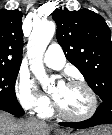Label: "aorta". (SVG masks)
<instances>
[{
	"label": "aorta",
	"instance_id": "obj_1",
	"mask_svg": "<svg viewBox=\"0 0 112 135\" xmlns=\"http://www.w3.org/2000/svg\"><path fill=\"white\" fill-rule=\"evenodd\" d=\"M55 30V23L47 21L33 28L29 37L27 55L30 60V70L35 75L42 88H47L53 81L45 72L42 58Z\"/></svg>",
	"mask_w": 112,
	"mask_h": 135
}]
</instances>
